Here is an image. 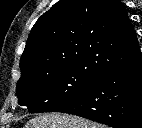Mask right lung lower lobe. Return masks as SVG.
Masks as SVG:
<instances>
[{
  "label": "right lung lower lobe",
  "mask_w": 142,
  "mask_h": 128,
  "mask_svg": "<svg viewBox=\"0 0 142 128\" xmlns=\"http://www.w3.org/2000/svg\"><path fill=\"white\" fill-rule=\"evenodd\" d=\"M55 111L74 114L114 128H141L142 58L104 74Z\"/></svg>",
  "instance_id": "right-lung-lower-lobe-1"
}]
</instances>
